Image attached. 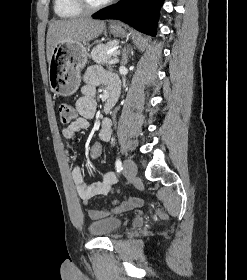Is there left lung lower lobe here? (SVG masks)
<instances>
[{"label": "left lung lower lobe", "mask_w": 247, "mask_h": 280, "mask_svg": "<svg viewBox=\"0 0 247 280\" xmlns=\"http://www.w3.org/2000/svg\"><path fill=\"white\" fill-rule=\"evenodd\" d=\"M164 0H120L93 16L95 19H119L137 30L156 35L159 9Z\"/></svg>", "instance_id": "left-lung-lower-lobe-1"}]
</instances>
